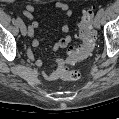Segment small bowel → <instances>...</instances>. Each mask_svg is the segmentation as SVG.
Returning <instances> with one entry per match:
<instances>
[{
	"label": "small bowel",
	"instance_id": "small-bowel-1",
	"mask_svg": "<svg viewBox=\"0 0 119 119\" xmlns=\"http://www.w3.org/2000/svg\"><path fill=\"white\" fill-rule=\"evenodd\" d=\"M55 8L61 11L67 18H69L72 15V11L70 10L69 6L66 3L63 2H57L55 3ZM37 11V7L33 5H26L25 9L23 11V15L31 20V23L29 24V48L27 50V55L28 57L34 61V63L38 66L41 67L43 66V62L40 59H35L34 54L31 50V48H36L39 46V40L35 37V30L38 28L39 23L37 20L34 18V13ZM62 32L65 33L66 35L59 39L53 46L54 50L58 49H63L65 48L71 41V36L68 35L67 33L70 30V27L68 23H65L62 28ZM63 65L62 60H56L53 63L54 69L50 71H45L43 73V77L47 80H56L60 77V71Z\"/></svg>",
	"mask_w": 119,
	"mask_h": 119
}]
</instances>
